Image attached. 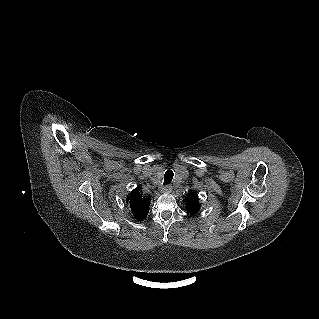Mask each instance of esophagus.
I'll list each match as a JSON object with an SVG mask.
<instances>
[{
    "instance_id": "1",
    "label": "esophagus",
    "mask_w": 319,
    "mask_h": 319,
    "mask_svg": "<svg viewBox=\"0 0 319 319\" xmlns=\"http://www.w3.org/2000/svg\"><path fill=\"white\" fill-rule=\"evenodd\" d=\"M162 193H170L172 191V186L171 185H166L162 188Z\"/></svg>"
}]
</instances>
